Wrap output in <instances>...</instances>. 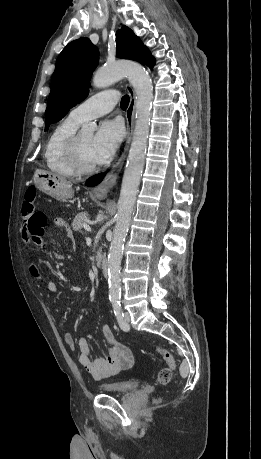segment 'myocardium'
Returning <instances> with one entry per match:
<instances>
[{"label": "myocardium", "mask_w": 261, "mask_h": 459, "mask_svg": "<svg viewBox=\"0 0 261 459\" xmlns=\"http://www.w3.org/2000/svg\"><path fill=\"white\" fill-rule=\"evenodd\" d=\"M66 156L69 164L77 174H90L97 169L96 164L87 165L82 158L80 133H75L68 141Z\"/></svg>", "instance_id": "1"}]
</instances>
